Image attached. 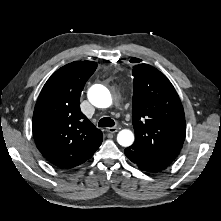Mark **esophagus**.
<instances>
[{"mask_svg":"<svg viewBox=\"0 0 221 221\" xmlns=\"http://www.w3.org/2000/svg\"><path fill=\"white\" fill-rule=\"evenodd\" d=\"M118 130H119V128H117V127H109V128L105 129V131L108 133H116Z\"/></svg>","mask_w":221,"mask_h":221,"instance_id":"esophagus-1","label":"esophagus"}]
</instances>
